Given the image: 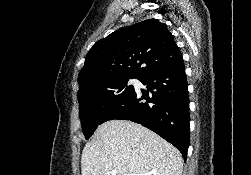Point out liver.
I'll return each mask as SVG.
<instances>
[{
    "instance_id": "obj_1",
    "label": "liver",
    "mask_w": 251,
    "mask_h": 175,
    "mask_svg": "<svg viewBox=\"0 0 251 175\" xmlns=\"http://www.w3.org/2000/svg\"><path fill=\"white\" fill-rule=\"evenodd\" d=\"M181 175L180 151L160 135L127 119H111L97 127L84 145L81 175Z\"/></svg>"
}]
</instances>
